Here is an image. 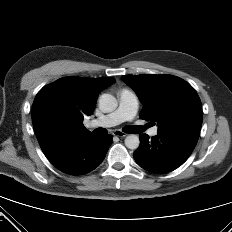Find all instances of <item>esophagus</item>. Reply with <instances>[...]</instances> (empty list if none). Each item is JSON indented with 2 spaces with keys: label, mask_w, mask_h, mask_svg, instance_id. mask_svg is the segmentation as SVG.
Segmentation results:
<instances>
[{
  "label": "esophagus",
  "mask_w": 232,
  "mask_h": 232,
  "mask_svg": "<svg viewBox=\"0 0 232 232\" xmlns=\"http://www.w3.org/2000/svg\"><path fill=\"white\" fill-rule=\"evenodd\" d=\"M113 135H114V136H117V137H120V138H123V137H125L127 134L124 133V132L121 131V130H114V131H113Z\"/></svg>",
  "instance_id": "1"
}]
</instances>
